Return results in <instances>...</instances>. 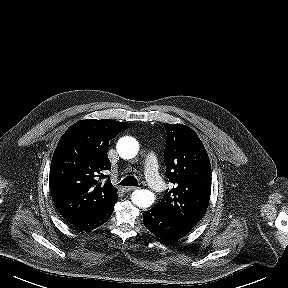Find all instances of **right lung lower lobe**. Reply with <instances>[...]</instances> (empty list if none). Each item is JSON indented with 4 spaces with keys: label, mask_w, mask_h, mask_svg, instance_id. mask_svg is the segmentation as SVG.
Wrapping results in <instances>:
<instances>
[{
    "label": "right lung lower lobe",
    "mask_w": 288,
    "mask_h": 288,
    "mask_svg": "<svg viewBox=\"0 0 288 288\" xmlns=\"http://www.w3.org/2000/svg\"><path fill=\"white\" fill-rule=\"evenodd\" d=\"M116 201L117 199L109 203L106 207H104L102 210L95 214L75 219L69 222L80 230H93L104 224L111 217Z\"/></svg>",
    "instance_id": "98d812e1"
}]
</instances>
